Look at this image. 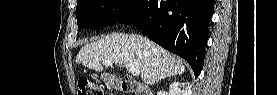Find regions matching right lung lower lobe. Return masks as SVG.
<instances>
[{"label": "right lung lower lobe", "mask_w": 277, "mask_h": 95, "mask_svg": "<svg viewBox=\"0 0 277 95\" xmlns=\"http://www.w3.org/2000/svg\"><path fill=\"white\" fill-rule=\"evenodd\" d=\"M213 0H140L119 23L134 24L201 73Z\"/></svg>", "instance_id": "98d812e1"}]
</instances>
